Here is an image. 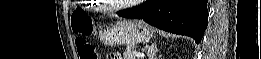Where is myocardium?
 Returning a JSON list of instances; mask_svg holds the SVG:
<instances>
[{
    "label": "myocardium",
    "instance_id": "1",
    "mask_svg": "<svg viewBox=\"0 0 261 59\" xmlns=\"http://www.w3.org/2000/svg\"><path fill=\"white\" fill-rule=\"evenodd\" d=\"M104 7L109 10V11H118V10H122L125 9L127 7H129L130 5L127 3H121V4H112L110 3V1H106V0H102L100 1Z\"/></svg>",
    "mask_w": 261,
    "mask_h": 59
}]
</instances>
